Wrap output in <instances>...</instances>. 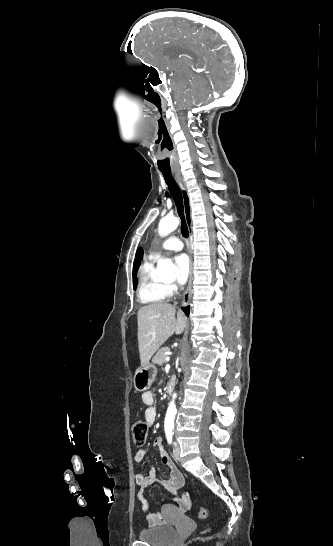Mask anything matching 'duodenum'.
<instances>
[{
  "instance_id": "410a0bca",
  "label": "duodenum",
  "mask_w": 333,
  "mask_h": 546,
  "mask_svg": "<svg viewBox=\"0 0 333 546\" xmlns=\"http://www.w3.org/2000/svg\"><path fill=\"white\" fill-rule=\"evenodd\" d=\"M175 383H176V380L174 377H170L167 381V384H166V387H167V391L169 393H172L174 391V388H175Z\"/></svg>"
}]
</instances>
